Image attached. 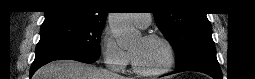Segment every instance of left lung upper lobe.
I'll list each match as a JSON object with an SVG mask.
<instances>
[{
  "label": "left lung upper lobe",
  "mask_w": 255,
  "mask_h": 79,
  "mask_svg": "<svg viewBox=\"0 0 255 79\" xmlns=\"http://www.w3.org/2000/svg\"><path fill=\"white\" fill-rule=\"evenodd\" d=\"M166 2L169 1H160L163 9L153 14L158 28L176 52V67L197 59L216 57L206 14L191 10L168 12Z\"/></svg>",
  "instance_id": "left-lung-upper-lobe-1"
}]
</instances>
